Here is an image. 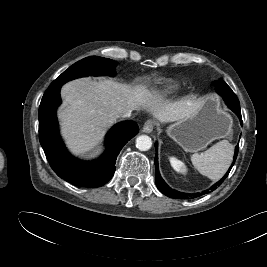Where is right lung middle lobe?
<instances>
[{
	"mask_svg": "<svg viewBox=\"0 0 267 267\" xmlns=\"http://www.w3.org/2000/svg\"><path fill=\"white\" fill-rule=\"evenodd\" d=\"M115 61L98 57L91 56L84 58L71 67H69L66 71H64L56 80H54L51 85L48 87L44 94H48L52 92L55 88L62 86L69 80L84 77V76H100V75H115L114 66Z\"/></svg>",
	"mask_w": 267,
	"mask_h": 267,
	"instance_id": "right-lung-middle-lobe-1",
	"label": "right lung middle lobe"
}]
</instances>
